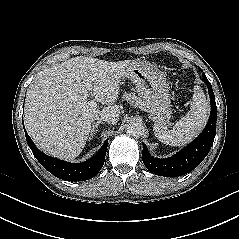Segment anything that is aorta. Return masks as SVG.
<instances>
[{
  "label": "aorta",
  "mask_w": 239,
  "mask_h": 239,
  "mask_svg": "<svg viewBox=\"0 0 239 239\" xmlns=\"http://www.w3.org/2000/svg\"><path fill=\"white\" fill-rule=\"evenodd\" d=\"M126 133L134 138H139L144 134V126L140 122H131L126 126Z\"/></svg>",
  "instance_id": "1"
}]
</instances>
